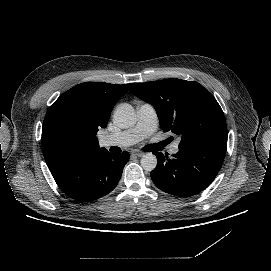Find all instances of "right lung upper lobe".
<instances>
[{"label":"right lung upper lobe","mask_w":271,"mask_h":271,"mask_svg":"<svg viewBox=\"0 0 271 271\" xmlns=\"http://www.w3.org/2000/svg\"><path fill=\"white\" fill-rule=\"evenodd\" d=\"M132 85L85 82L63 93L48 109L43 122L41 142L48 167L75 153L104 149L99 148L97 131L107 126L114 104ZM62 117L70 118L81 131L71 146H60L52 138V127Z\"/></svg>","instance_id":"obj_1"}]
</instances>
